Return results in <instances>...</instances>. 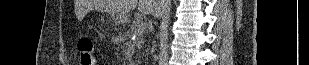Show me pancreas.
Segmentation results:
<instances>
[{"label": "pancreas", "instance_id": "pancreas-1", "mask_svg": "<svg viewBox=\"0 0 309 65\" xmlns=\"http://www.w3.org/2000/svg\"><path fill=\"white\" fill-rule=\"evenodd\" d=\"M143 21L140 19H135L131 25H130V31H129V36L133 35L134 33H136L138 31V35L139 38L135 41L136 46L138 47V49H140L142 47V45H144V39H143V34L145 31V27L143 30L139 29V26L141 25Z\"/></svg>", "mask_w": 309, "mask_h": 65}]
</instances>
